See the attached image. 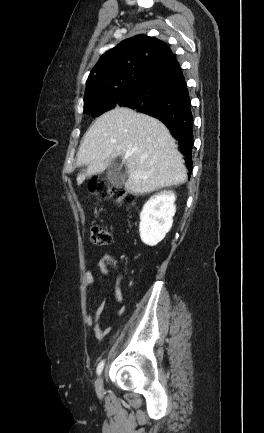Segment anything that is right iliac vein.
<instances>
[{
    "instance_id": "63e3f726",
    "label": "right iliac vein",
    "mask_w": 264,
    "mask_h": 433,
    "mask_svg": "<svg viewBox=\"0 0 264 433\" xmlns=\"http://www.w3.org/2000/svg\"><path fill=\"white\" fill-rule=\"evenodd\" d=\"M95 390H96V393L99 396H101L103 394L104 387H103V378H102V376H99L97 378V380L95 382Z\"/></svg>"
}]
</instances>
